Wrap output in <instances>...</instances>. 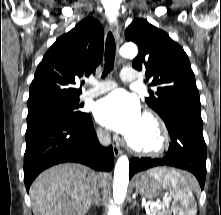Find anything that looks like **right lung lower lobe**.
Returning a JSON list of instances; mask_svg holds the SVG:
<instances>
[{"mask_svg":"<svg viewBox=\"0 0 221 215\" xmlns=\"http://www.w3.org/2000/svg\"><path fill=\"white\" fill-rule=\"evenodd\" d=\"M24 183L27 191L43 170L64 162H78L100 171L114 165L112 147L100 145L90 114L54 115L27 125Z\"/></svg>","mask_w":221,"mask_h":215,"instance_id":"98d812e1","label":"right lung lower lobe"}]
</instances>
